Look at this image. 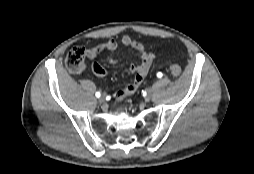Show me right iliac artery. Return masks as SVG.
Wrapping results in <instances>:
<instances>
[{
    "label": "right iliac artery",
    "mask_w": 254,
    "mask_h": 174,
    "mask_svg": "<svg viewBox=\"0 0 254 174\" xmlns=\"http://www.w3.org/2000/svg\"><path fill=\"white\" fill-rule=\"evenodd\" d=\"M95 95H96L97 98H99L101 94H100V92H96Z\"/></svg>",
    "instance_id": "right-iliac-artery-1"
}]
</instances>
